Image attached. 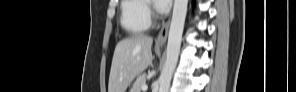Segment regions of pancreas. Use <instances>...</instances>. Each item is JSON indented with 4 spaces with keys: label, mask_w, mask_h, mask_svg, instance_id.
Wrapping results in <instances>:
<instances>
[{
    "label": "pancreas",
    "mask_w": 296,
    "mask_h": 92,
    "mask_svg": "<svg viewBox=\"0 0 296 92\" xmlns=\"http://www.w3.org/2000/svg\"><path fill=\"white\" fill-rule=\"evenodd\" d=\"M146 74H142L137 77L136 81L133 83V86L131 88V92H141V87L146 83Z\"/></svg>",
    "instance_id": "obj_1"
}]
</instances>
